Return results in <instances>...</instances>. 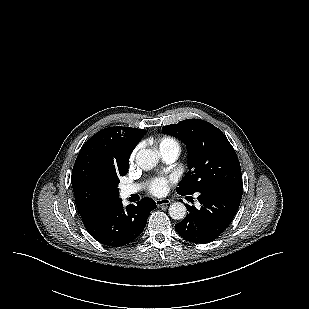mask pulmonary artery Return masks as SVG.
<instances>
[{
	"label": "pulmonary artery",
	"mask_w": 309,
	"mask_h": 309,
	"mask_svg": "<svg viewBox=\"0 0 309 309\" xmlns=\"http://www.w3.org/2000/svg\"><path fill=\"white\" fill-rule=\"evenodd\" d=\"M180 150L177 148H165L160 150V154L162 159L166 163H172L174 162L178 156H179ZM140 186L139 185H127L122 187V194L124 196H129L133 193H136L139 191Z\"/></svg>",
	"instance_id": "pulmonary-artery-1"
}]
</instances>
